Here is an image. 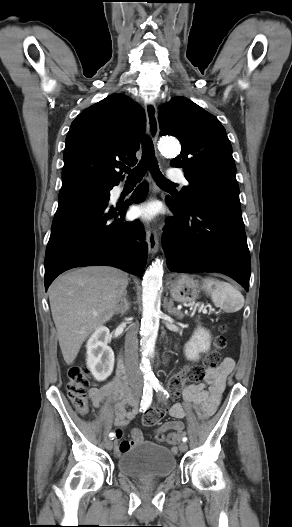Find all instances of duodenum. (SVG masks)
Segmentation results:
<instances>
[{
    "label": "duodenum",
    "instance_id": "obj_1",
    "mask_svg": "<svg viewBox=\"0 0 292 527\" xmlns=\"http://www.w3.org/2000/svg\"><path fill=\"white\" fill-rule=\"evenodd\" d=\"M117 376L124 382H126L127 378L125 375V369L122 361L120 360L118 363V369H117Z\"/></svg>",
    "mask_w": 292,
    "mask_h": 527
}]
</instances>
